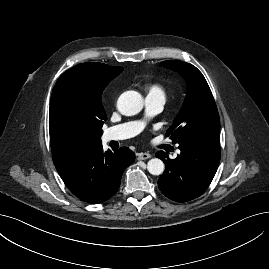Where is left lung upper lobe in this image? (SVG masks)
Masks as SVG:
<instances>
[{
  "label": "left lung upper lobe",
  "instance_id": "left-lung-upper-lobe-1",
  "mask_svg": "<svg viewBox=\"0 0 269 269\" xmlns=\"http://www.w3.org/2000/svg\"><path fill=\"white\" fill-rule=\"evenodd\" d=\"M177 71L187 83V94L183 106L166 132L173 143L183 146L198 137H219L220 119L218 110L203 74L192 64L179 60L161 63Z\"/></svg>",
  "mask_w": 269,
  "mask_h": 269
}]
</instances>
